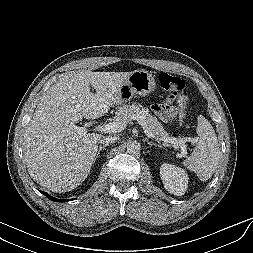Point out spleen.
I'll return each instance as SVG.
<instances>
[{
  "label": "spleen",
  "mask_w": 253,
  "mask_h": 253,
  "mask_svg": "<svg viewBox=\"0 0 253 253\" xmlns=\"http://www.w3.org/2000/svg\"><path fill=\"white\" fill-rule=\"evenodd\" d=\"M198 143L192 154L183 161V165L195 172L201 181L208 180L219 163L220 150L215 131L210 122L202 115L198 116Z\"/></svg>",
  "instance_id": "1"
}]
</instances>
